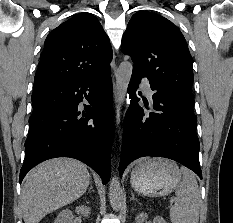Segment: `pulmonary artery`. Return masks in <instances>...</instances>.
<instances>
[{"instance_id":"e3ab8cb5","label":"pulmonary artery","mask_w":233,"mask_h":223,"mask_svg":"<svg viewBox=\"0 0 233 223\" xmlns=\"http://www.w3.org/2000/svg\"><path fill=\"white\" fill-rule=\"evenodd\" d=\"M141 87L144 91V93L148 96V97H152L153 95V90L151 88V84L148 80V74H141Z\"/></svg>"}]
</instances>
